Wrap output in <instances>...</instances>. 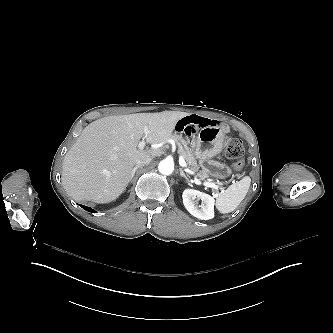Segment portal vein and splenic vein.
<instances>
[{
	"mask_svg": "<svg viewBox=\"0 0 333 333\" xmlns=\"http://www.w3.org/2000/svg\"><path fill=\"white\" fill-rule=\"evenodd\" d=\"M148 132H149V131H148V128L145 127V128H144V134L147 135ZM145 145H146V143H145V138L143 137L142 140L138 143V149H139V150H143L144 147H145ZM152 147H153V146H152ZM179 165H180L181 167H187V162L185 161V159H184L183 156H179ZM194 181H195V183H196L197 185H201V181H200L199 179L195 178ZM203 185H204L205 187L213 188V189H216V190L219 188V185H217V184H215V183H213V182H208V181L203 182ZM221 189H222V188H221ZM223 191H224V190L222 189V192H223Z\"/></svg>",
	"mask_w": 333,
	"mask_h": 333,
	"instance_id": "portal-vein-and-splenic-vein-1",
	"label": "portal vein and splenic vein"
}]
</instances>
